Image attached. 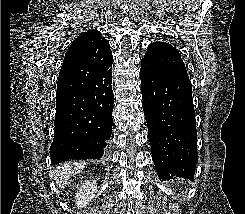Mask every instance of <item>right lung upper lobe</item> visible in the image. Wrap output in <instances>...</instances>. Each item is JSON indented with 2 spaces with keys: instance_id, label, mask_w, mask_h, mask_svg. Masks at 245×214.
Instances as JSON below:
<instances>
[{
  "instance_id": "1",
  "label": "right lung upper lobe",
  "mask_w": 245,
  "mask_h": 214,
  "mask_svg": "<svg viewBox=\"0 0 245 214\" xmlns=\"http://www.w3.org/2000/svg\"><path fill=\"white\" fill-rule=\"evenodd\" d=\"M109 42L97 30L82 33L68 49L63 64L72 63L76 85L84 87L94 77L100 65L112 60Z\"/></svg>"
}]
</instances>
